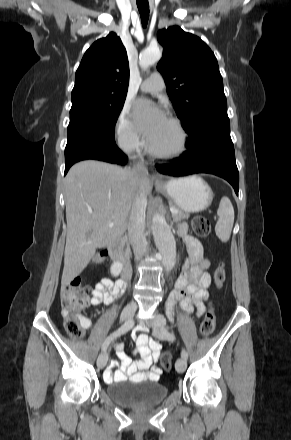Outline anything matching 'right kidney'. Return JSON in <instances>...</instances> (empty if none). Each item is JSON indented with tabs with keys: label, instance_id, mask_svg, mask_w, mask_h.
<instances>
[{
	"label": "right kidney",
	"instance_id": "obj_1",
	"mask_svg": "<svg viewBox=\"0 0 291 440\" xmlns=\"http://www.w3.org/2000/svg\"><path fill=\"white\" fill-rule=\"evenodd\" d=\"M122 267H123V265H122V263H120L119 261L114 262V263L112 264V266H111V269H110L111 274H112L114 277H117V276L121 273V271H122Z\"/></svg>",
	"mask_w": 291,
	"mask_h": 440
}]
</instances>
